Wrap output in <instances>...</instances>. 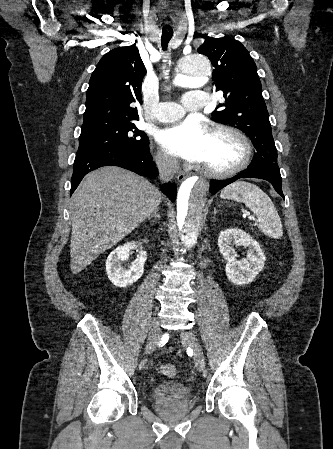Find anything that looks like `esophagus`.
I'll list each match as a JSON object with an SVG mask.
<instances>
[{
  "label": "esophagus",
  "mask_w": 333,
  "mask_h": 449,
  "mask_svg": "<svg viewBox=\"0 0 333 449\" xmlns=\"http://www.w3.org/2000/svg\"><path fill=\"white\" fill-rule=\"evenodd\" d=\"M177 179H178L179 182H182V181L185 179V175L182 174V173H180V174L177 176Z\"/></svg>",
  "instance_id": "esophagus-1"
}]
</instances>
